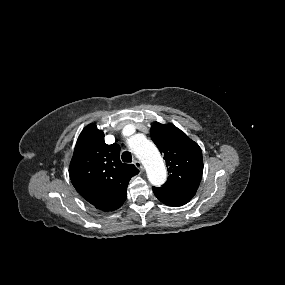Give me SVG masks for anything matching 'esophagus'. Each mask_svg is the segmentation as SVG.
<instances>
[{
	"mask_svg": "<svg viewBox=\"0 0 285 285\" xmlns=\"http://www.w3.org/2000/svg\"><path fill=\"white\" fill-rule=\"evenodd\" d=\"M134 165H135L141 172L144 171L143 165H142V163H141L139 160H135V161H134Z\"/></svg>",
	"mask_w": 285,
	"mask_h": 285,
	"instance_id": "34e87169",
	"label": "esophagus"
}]
</instances>
